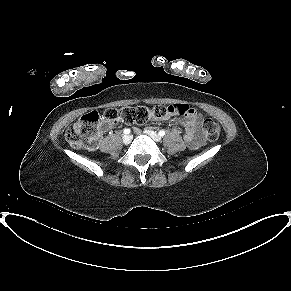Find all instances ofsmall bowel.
<instances>
[{"label": "small bowel", "mask_w": 291, "mask_h": 291, "mask_svg": "<svg viewBox=\"0 0 291 291\" xmlns=\"http://www.w3.org/2000/svg\"><path fill=\"white\" fill-rule=\"evenodd\" d=\"M153 120H156V117H152ZM168 118H161V120H167ZM202 122L203 118L198 114L194 108L189 106L188 112L183 114L182 118L171 120L170 123L177 127H184L183 139L187 144V147L191 150L198 149L202 146L204 142V133L202 131ZM135 132L139 131L135 129Z\"/></svg>", "instance_id": "obj_1"}]
</instances>
